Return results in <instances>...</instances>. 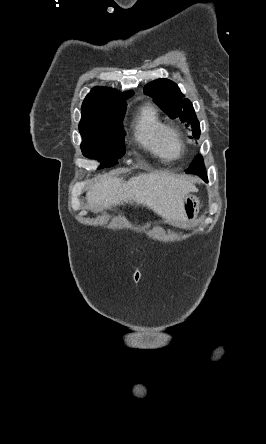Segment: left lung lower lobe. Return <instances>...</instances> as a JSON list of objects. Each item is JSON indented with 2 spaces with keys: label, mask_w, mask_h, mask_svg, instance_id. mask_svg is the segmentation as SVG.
I'll return each instance as SVG.
<instances>
[{
  "label": "left lung lower lobe",
  "mask_w": 266,
  "mask_h": 444,
  "mask_svg": "<svg viewBox=\"0 0 266 444\" xmlns=\"http://www.w3.org/2000/svg\"><path fill=\"white\" fill-rule=\"evenodd\" d=\"M187 173H193L200 176L202 179L207 181V174L205 171L203 159L201 157H198L193 163L191 164L190 168L186 170Z\"/></svg>",
  "instance_id": "obj_1"
}]
</instances>
